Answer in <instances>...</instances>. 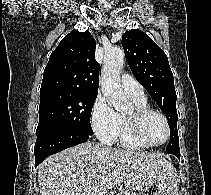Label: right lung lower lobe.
Wrapping results in <instances>:
<instances>
[{"label":"right lung lower lobe","mask_w":211,"mask_h":195,"mask_svg":"<svg viewBox=\"0 0 211 195\" xmlns=\"http://www.w3.org/2000/svg\"><path fill=\"white\" fill-rule=\"evenodd\" d=\"M90 137L88 132L77 129L59 128L43 132L35 143V167L48 156L83 143Z\"/></svg>","instance_id":"1"}]
</instances>
